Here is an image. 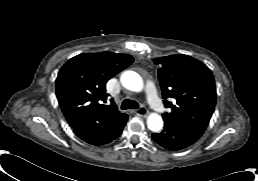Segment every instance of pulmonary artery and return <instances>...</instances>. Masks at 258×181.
Returning a JSON list of instances; mask_svg holds the SVG:
<instances>
[{"label":"pulmonary artery","instance_id":"pulmonary-artery-1","mask_svg":"<svg viewBox=\"0 0 258 181\" xmlns=\"http://www.w3.org/2000/svg\"><path fill=\"white\" fill-rule=\"evenodd\" d=\"M146 96L150 107L155 111H160L162 104L157 95L156 89L152 83H148L146 86Z\"/></svg>","mask_w":258,"mask_h":181}]
</instances>
